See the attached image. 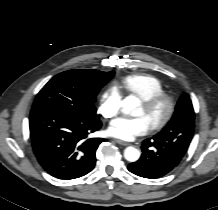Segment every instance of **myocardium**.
<instances>
[{
    "label": "myocardium",
    "instance_id": "obj_1",
    "mask_svg": "<svg viewBox=\"0 0 218 210\" xmlns=\"http://www.w3.org/2000/svg\"><path fill=\"white\" fill-rule=\"evenodd\" d=\"M159 105L165 106V114L161 119L150 125L152 131L161 130L170 122L174 114L175 103L173 98L164 92L142 99V106L147 111H151Z\"/></svg>",
    "mask_w": 218,
    "mask_h": 210
}]
</instances>
